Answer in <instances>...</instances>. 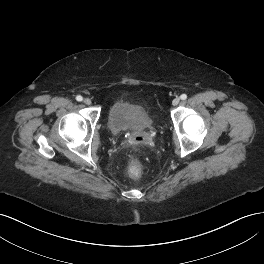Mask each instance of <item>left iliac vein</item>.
I'll return each mask as SVG.
<instances>
[{
  "label": "left iliac vein",
  "instance_id": "1",
  "mask_svg": "<svg viewBox=\"0 0 264 264\" xmlns=\"http://www.w3.org/2000/svg\"><path fill=\"white\" fill-rule=\"evenodd\" d=\"M179 102H180V99H179L178 97H176V98L173 99L172 104H173L174 106H176V105L179 104Z\"/></svg>",
  "mask_w": 264,
  "mask_h": 264
}]
</instances>
